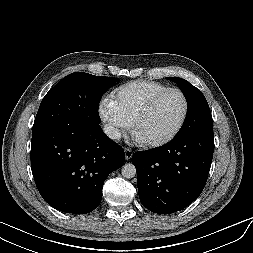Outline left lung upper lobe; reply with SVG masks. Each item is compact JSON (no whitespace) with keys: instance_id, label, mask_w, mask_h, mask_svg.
<instances>
[{"instance_id":"1","label":"left lung upper lobe","mask_w":253,"mask_h":253,"mask_svg":"<svg viewBox=\"0 0 253 253\" xmlns=\"http://www.w3.org/2000/svg\"><path fill=\"white\" fill-rule=\"evenodd\" d=\"M168 79L179 85L188 104L187 118L178 135L213 128L212 115L202 92L185 79L178 77Z\"/></svg>"}]
</instances>
